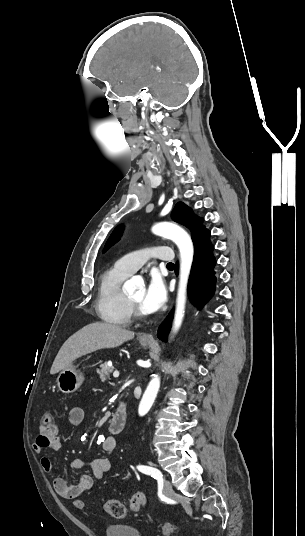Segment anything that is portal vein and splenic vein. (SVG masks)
Instances as JSON below:
<instances>
[{
	"label": "portal vein and splenic vein",
	"mask_w": 305,
	"mask_h": 536,
	"mask_svg": "<svg viewBox=\"0 0 305 536\" xmlns=\"http://www.w3.org/2000/svg\"><path fill=\"white\" fill-rule=\"evenodd\" d=\"M113 376H114V378H119V372H117V370H116V372H114Z\"/></svg>",
	"instance_id": "18ae733b"
}]
</instances>
